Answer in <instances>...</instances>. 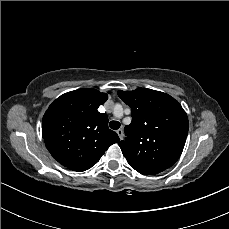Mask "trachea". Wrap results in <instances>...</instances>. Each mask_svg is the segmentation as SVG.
Masks as SVG:
<instances>
[{
  "instance_id": "3493384b",
  "label": "trachea",
  "mask_w": 229,
  "mask_h": 229,
  "mask_svg": "<svg viewBox=\"0 0 229 229\" xmlns=\"http://www.w3.org/2000/svg\"><path fill=\"white\" fill-rule=\"evenodd\" d=\"M109 126L111 129L117 130L120 128V123L118 121H111Z\"/></svg>"
}]
</instances>
